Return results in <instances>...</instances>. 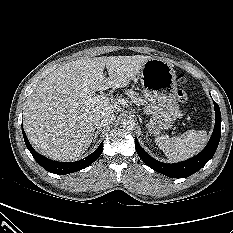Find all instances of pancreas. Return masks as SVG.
<instances>
[{
    "label": "pancreas",
    "instance_id": "1",
    "mask_svg": "<svg viewBox=\"0 0 233 233\" xmlns=\"http://www.w3.org/2000/svg\"><path fill=\"white\" fill-rule=\"evenodd\" d=\"M126 95H128L134 102L138 104H145V100L142 99V97H139V95L133 90L126 91Z\"/></svg>",
    "mask_w": 233,
    "mask_h": 233
}]
</instances>
